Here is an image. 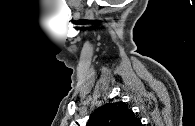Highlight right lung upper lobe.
<instances>
[{
	"mask_svg": "<svg viewBox=\"0 0 195 126\" xmlns=\"http://www.w3.org/2000/svg\"><path fill=\"white\" fill-rule=\"evenodd\" d=\"M141 121L124 102L108 103L95 110L86 126H141Z\"/></svg>",
	"mask_w": 195,
	"mask_h": 126,
	"instance_id": "1",
	"label": "right lung upper lobe"
}]
</instances>
